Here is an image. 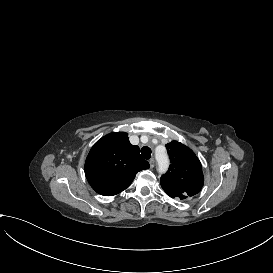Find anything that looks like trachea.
Returning a JSON list of instances; mask_svg holds the SVG:
<instances>
[{"mask_svg":"<svg viewBox=\"0 0 273 273\" xmlns=\"http://www.w3.org/2000/svg\"><path fill=\"white\" fill-rule=\"evenodd\" d=\"M151 153L152 151L149 147L145 146L141 149V156L146 160H148L151 157Z\"/></svg>","mask_w":273,"mask_h":273,"instance_id":"obj_1","label":"trachea"}]
</instances>
